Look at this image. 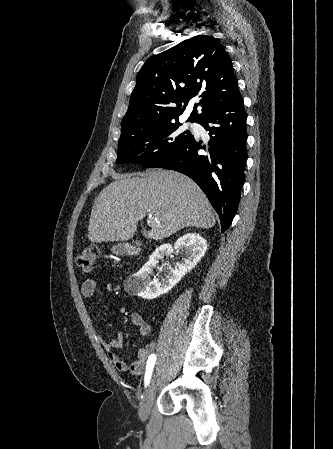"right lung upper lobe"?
<instances>
[{"label": "right lung upper lobe", "instance_id": "right-lung-upper-lobe-1", "mask_svg": "<svg viewBox=\"0 0 333 449\" xmlns=\"http://www.w3.org/2000/svg\"><path fill=\"white\" fill-rule=\"evenodd\" d=\"M119 141L178 120L191 100L188 118L198 122L211 108L239 95L232 61L213 37L195 36L149 58L139 71ZM202 107L198 113L197 107Z\"/></svg>", "mask_w": 333, "mask_h": 449}]
</instances>
